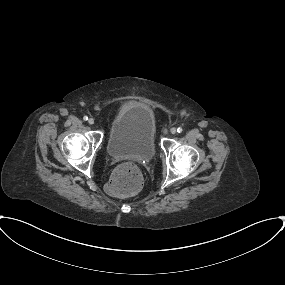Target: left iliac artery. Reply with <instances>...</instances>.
Masks as SVG:
<instances>
[{"instance_id": "obj_1", "label": "left iliac artery", "mask_w": 285, "mask_h": 285, "mask_svg": "<svg viewBox=\"0 0 285 285\" xmlns=\"http://www.w3.org/2000/svg\"><path fill=\"white\" fill-rule=\"evenodd\" d=\"M183 131V129L181 127L177 128V132L181 133Z\"/></svg>"}]
</instances>
